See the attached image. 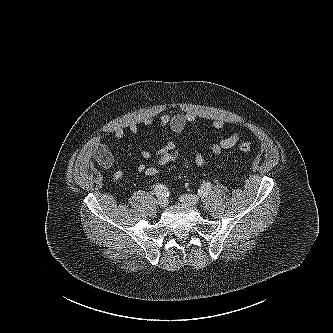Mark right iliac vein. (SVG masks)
<instances>
[{
	"mask_svg": "<svg viewBox=\"0 0 333 333\" xmlns=\"http://www.w3.org/2000/svg\"><path fill=\"white\" fill-rule=\"evenodd\" d=\"M158 205L162 208H165L167 207L168 205V200L166 198H159L158 201H157Z\"/></svg>",
	"mask_w": 333,
	"mask_h": 333,
	"instance_id": "63e3f726",
	"label": "right iliac vein"
}]
</instances>
